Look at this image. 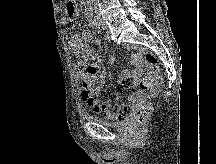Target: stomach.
I'll use <instances>...</instances> for the list:
<instances>
[{
  "label": "stomach",
  "mask_w": 216,
  "mask_h": 164,
  "mask_svg": "<svg viewBox=\"0 0 216 164\" xmlns=\"http://www.w3.org/2000/svg\"><path fill=\"white\" fill-rule=\"evenodd\" d=\"M64 11L67 15H64V20H73L76 14H78V7H65Z\"/></svg>",
  "instance_id": "0dacf381"
}]
</instances>
